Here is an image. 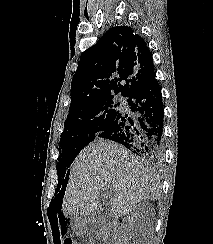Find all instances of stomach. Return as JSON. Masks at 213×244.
<instances>
[{"label":"stomach","instance_id":"stomach-1","mask_svg":"<svg viewBox=\"0 0 213 244\" xmlns=\"http://www.w3.org/2000/svg\"><path fill=\"white\" fill-rule=\"evenodd\" d=\"M77 225H78V226L76 227V230H77V231H80V230H81V227H80V226L82 225V222H81V221H78V222H77Z\"/></svg>","mask_w":213,"mask_h":244}]
</instances>
